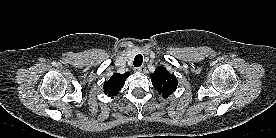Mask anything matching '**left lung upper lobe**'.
I'll list each match as a JSON object with an SVG mask.
<instances>
[{"mask_svg":"<svg viewBox=\"0 0 276 138\" xmlns=\"http://www.w3.org/2000/svg\"><path fill=\"white\" fill-rule=\"evenodd\" d=\"M154 88L163 95L164 98L171 95L177 88V78L170 74L165 67H157L151 74Z\"/></svg>","mask_w":276,"mask_h":138,"instance_id":"5c2ea615","label":"left lung upper lobe"}]
</instances>
